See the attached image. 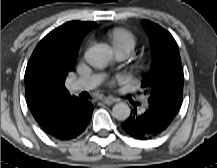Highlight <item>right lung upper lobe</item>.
<instances>
[{
  "instance_id": "1",
  "label": "right lung upper lobe",
  "mask_w": 217,
  "mask_h": 168,
  "mask_svg": "<svg viewBox=\"0 0 217 168\" xmlns=\"http://www.w3.org/2000/svg\"><path fill=\"white\" fill-rule=\"evenodd\" d=\"M95 25V22L70 21L37 44L25 71L26 99L36 121L60 105L78 99L69 95L65 79L75 67L83 38Z\"/></svg>"
}]
</instances>
